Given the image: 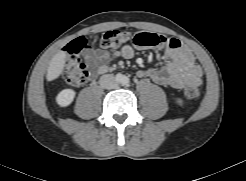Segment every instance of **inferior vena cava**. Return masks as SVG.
Returning a JSON list of instances; mask_svg holds the SVG:
<instances>
[{
  "label": "inferior vena cava",
  "mask_w": 246,
  "mask_h": 181,
  "mask_svg": "<svg viewBox=\"0 0 246 181\" xmlns=\"http://www.w3.org/2000/svg\"><path fill=\"white\" fill-rule=\"evenodd\" d=\"M100 85L105 89H113L117 87V81L112 74H105L100 77Z\"/></svg>",
  "instance_id": "obj_1"
}]
</instances>
